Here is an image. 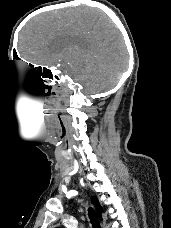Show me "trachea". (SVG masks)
<instances>
[{
    "label": "trachea",
    "mask_w": 171,
    "mask_h": 228,
    "mask_svg": "<svg viewBox=\"0 0 171 228\" xmlns=\"http://www.w3.org/2000/svg\"><path fill=\"white\" fill-rule=\"evenodd\" d=\"M88 215H89V219L91 221L93 228H100V224L98 222L97 216H96L93 208H89Z\"/></svg>",
    "instance_id": "obj_1"
}]
</instances>
